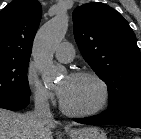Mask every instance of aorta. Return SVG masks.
Returning a JSON list of instances; mask_svg holds the SVG:
<instances>
[{
    "mask_svg": "<svg viewBox=\"0 0 141 139\" xmlns=\"http://www.w3.org/2000/svg\"><path fill=\"white\" fill-rule=\"evenodd\" d=\"M68 23L69 18L66 13L57 14L43 25L36 35L33 57L45 84L53 82L60 74L53 65V53L64 39Z\"/></svg>",
    "mask_w": 141,
    "mask_h": 139,
    "instance_id": "1",
    "label": "aorta"
}]
</instances>
